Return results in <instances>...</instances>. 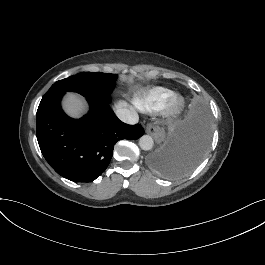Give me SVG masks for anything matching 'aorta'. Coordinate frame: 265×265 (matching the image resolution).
<instances>
[{
	"instance_id": "762f6f07",
	"label": "aorta",
	"mask_w": 265,
	"mask_h": 265,
	"mask_svg": "<svg viewBox=\"0 0 265 265\" xmlns=\"http://www.w3.org/2000/svg\"><path fill=\"white\" fill-rule=\"evenodd\" d=\"M153 145H154V141H153L152 137L149 135H143L139 139V146L141 147V149H143L145 151L151 150Z\"/></svg>"
}]
</instances>
